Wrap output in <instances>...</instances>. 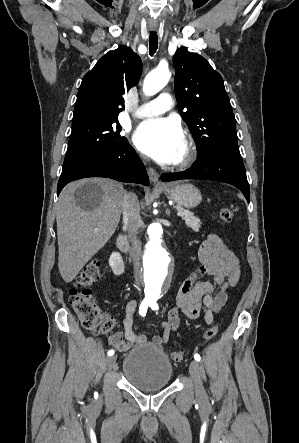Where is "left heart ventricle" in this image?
Returning <instances> with one entry per match:
<instances>
[{
  "label": "left heart ventricle",
  "mask_w": 299,
  "mask_h": 443,
  "mask_svg": "<svg viewBox=\"0 0 299 443\" xmlns=\"http://www.w3.org/2000/svg\"><path fill=\"white\" fill-rule=\"evenodd\" d=\"M185 151H186V144H185V141H184V143H183V145L181 147L180 153L178 155L177 160H179L185 154Z\"/></svg>",
  "instance_id": "b2bd125f"
}]
</instances>
